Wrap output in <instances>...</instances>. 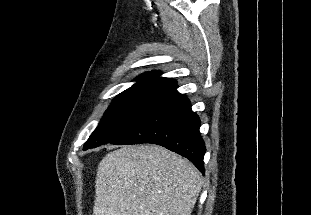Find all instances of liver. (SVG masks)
<instances>
[{"instance_id":"liver-1","label":"liver","mask_w":311,"mask_h":215,"mask_svg":"<svg viewBox=\"0 0 311 215\" xmlns=\"http://www.w3.org/2000/svg\"><path fill=\"white\" fill-rule=\"evenodd\" d=\"M201 187L198 170L176 153L124 146L98 165L93 215H190Z\"/></svg>"}]
</instances>
